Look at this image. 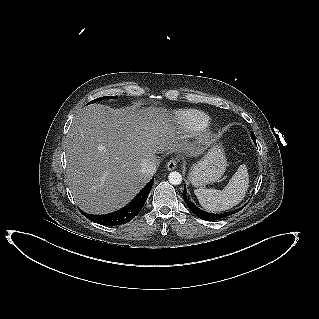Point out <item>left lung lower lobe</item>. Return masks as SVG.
Wrapping results in <instances>:
<instances>
[{"mask_svg": "<svg viewBox=\"0 0 319 319\" xmlns=\"http://www.w3.org/2000/svg\"><path fill=\"white\" fill-rule=\"evenodd\" d=\"M254 143H256V140H253ZM183 198L188 206V208L199 218L204 219V220H219L222 218H225L233 213L238 212L239 210H235V211H231V212H227V213H223V214H213V213H207L205 211H202L201 209H199L198 207H196L192 202L187 200V191L186 188L184 187V191H183Z\"/></svg>", "mask_w": 319, "mask_h": 319, "instance_id": "left-lung-lower-lobe-1", "label": "left lung lower lobe"}]
</instances>
